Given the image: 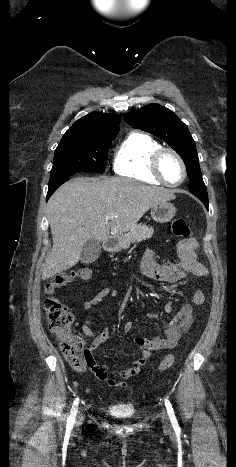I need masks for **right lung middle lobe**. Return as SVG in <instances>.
<instances>
[{
  "label": "right lung middle lobe",
  "instance_id": "1",
  "mask_svg": "<svg viewBox=\"0 0 236 467\" xmlns=\"http://www.w3.org/2000/svg\"><path fill=\"white\" fill-rule=\"evenodd\" d=\"M117 133H65L55 150L49 184L78 172H103Z\"/></svg>",
  "mask_w": 236,
  "mask_h": 467
}]
</instances>
